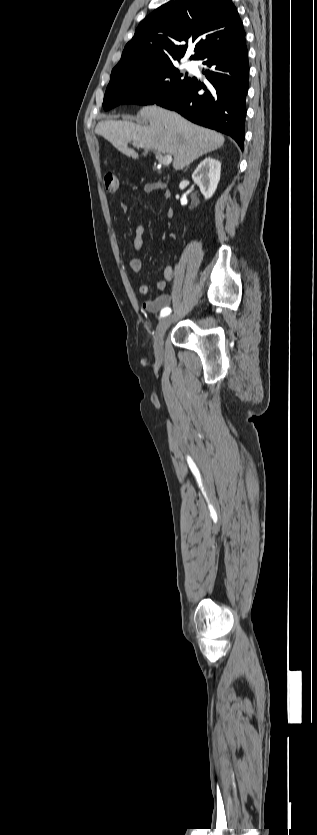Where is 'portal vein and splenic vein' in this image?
<instances>
[{"label": "portal vein and splenic vein", "instance_id": "1", "mask_svg": "<svg viewBox=\"0 0 317 835\" xmlns=\"http://www.w3.org/2000/svg\"><path fill=\"white\" fill-rule=\"evenodd\" d=\"M133 144L136 145L134 142ZM156 159L163 165H169L172 162V156L169 154L162 156L160 153H156Z\"/></svg>", "mask_w": 317, "mask_h": 835}]
</instances>
